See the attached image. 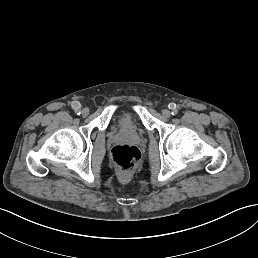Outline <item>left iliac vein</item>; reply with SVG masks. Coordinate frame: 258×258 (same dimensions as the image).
I'll return each instance as SVG.
<instances>
[{
    "instance_id": "obj_1",
    "label": "left iliac vein",
    "mask_w": 258,
    "mask_h": 258,
    "mask_svg": "<svg viewBox=\"0 0 258 258\" xmlns=\"http://www.w3.org/2000/svg\"><path fill=\"white\" fill-rule=\"evenodd\" d=\"M162 113H163L164 117H166V118H167V117L169 118V117H171V115H172V114H171V112H169V111H168V110H166V109H165V110H163V112H162Z\"/></svg>"
}]
</instances>
